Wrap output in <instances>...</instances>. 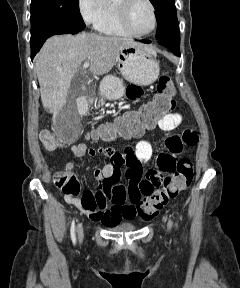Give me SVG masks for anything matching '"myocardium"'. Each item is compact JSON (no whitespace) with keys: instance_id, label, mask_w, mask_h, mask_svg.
<instances>
[{"instance_id":"obj_1","label":"myocardium","mask_w":240,"mask_h":288,"mask_svg":"<svg viewBox=\"0 0 240 288\" xmlns=\"http://www.w3.org/2000/svg\"><path fill=\"white\" fill-rule=\"evenodd\" d=\"M136 1L137 0H122L120 3L115 2L120 25L127 33H129L132 36H135V37L150 36L156 31L158 27V17H157L156 7L151 0H143L151 8L152 15H153V27L149 32L138 33L132 28L131 23H130V9L133 3Z\"/></svg>"}]
</instances>
